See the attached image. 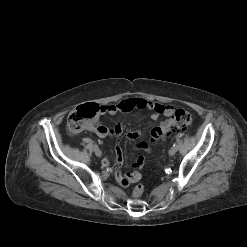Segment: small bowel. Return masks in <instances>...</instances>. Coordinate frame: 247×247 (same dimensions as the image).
I'll list each match as a JSON object with an SVG mask.
<instances>
[{"instance_id": "small-bowel-1", "label": "small bowel", "mask_w": 247, "mask_h": 247, "mask_svg": "<svg viewBox=\"0 0 247 247\" xmlns=\"http://www.w3.org/2000/svg\"><path fill=\"white\" fill-rule=\"evenodd\" d=\"M134 109H148L152 111L151 119L157 120L161 115L171 116L174 112V108L170 105H164L152 101H148L142 98H126L120 101L117 104L102 106L100 114H110L115 115L117 113H127L131 112ZM91 132L96 134L99 137H106L109 135H115L117 138H120L123 132V124L118 123L113 128H108L103 125H92L88 128ZM140 136L139 131L130 132L127 134V138L130 140H136ZM139 149L148 150V146L144 142H139L137 144ZM145 160L141 156L133 164L134 171L123 173L121 168L123 165V152L119 144L115 147V164L113 168V174L116 181L123 187H127L132 183H135L140 180L141 173L139 169L144 165ZM102 164L105 167L110 165L109 158L105 157L102 160Z\"/></svg>"}]
</instances>
